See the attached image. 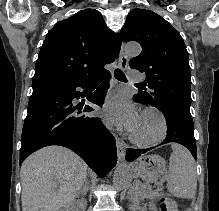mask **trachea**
<instances>
[{"label":"trachea","instance_id":"trachea-1","mask_svg":"<svg viewBox=\"0 0 219 211\" xmlns=\"http://www.w3.org/2000/svg\"><path fill=\"white\" fill-rule=\"evenodd\" d=\"M115 78L119 81H126L125 74L120 69H116L114 72Z\"/></svg>","mask_w":219,"mask_h":211}]
</instances>
